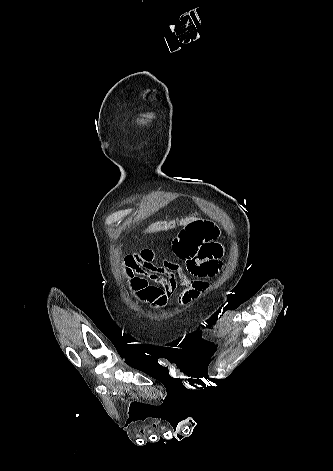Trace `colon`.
<instances>
[{
	"mask_svg": "<svg viewBox=\"0 0 333 471\" xmlns=\"http://www.w3.org/2000/svg\"><path fill=\"white\" fill-rule=\"evenodd\" d=\"M196 217L194 216H188L182 219L178 220H161V221H156L152 224H150L146 229L145 233H155L159 231H166L175 228L176 226H184L191 222L193 219Z\"/></svg>",
	"mask_w": 333,
	"mask_h": 471,
	"instance_id": "colon-1",
	"label": "colon"
}]
</instances>
